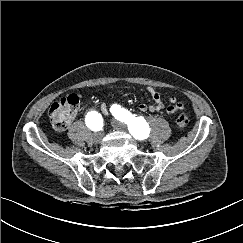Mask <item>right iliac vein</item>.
Here are the masks:
<instances>
[{
  "label": "right iliac vein",
  "instance_id": "1",
  "mask_svg": "<svg viewBox=\"0 0 243 243\" xmlns=\"http://www.w3.org/2000/svg\"><path fill=\"white\" fill-rule=\"evenodd\" d=\"M103 136H104V133L102 131L96 132L94 134V141L96 143L100 142L102 140Z\"/></svg>",
  "mask_w": 243,
  "mask_h": 243
}]
</instances>
